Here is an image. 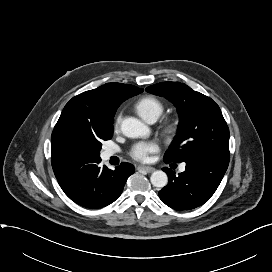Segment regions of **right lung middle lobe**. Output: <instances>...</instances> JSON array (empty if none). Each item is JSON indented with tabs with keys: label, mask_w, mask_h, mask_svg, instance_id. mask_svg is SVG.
<instances>
[{
	"label": "right lung middle lobe",
	"mask_w": 272,
	"mask_h": 272,
	"mask_svg": "<svg viewBox=\"0 0 272 272\" xmlns=\"http://www.w3.org/2000/svg\"><path fill=\"white\" fill-rule=\"evenodd\" d=\"M112 136L113 125L85 127L68 132L65 143L74 155L89 163L100 159L102 141L109 140Z\"/></svg>",
	"instance_id": "1"
}]
</instances>
